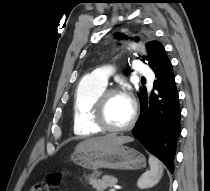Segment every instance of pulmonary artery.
<instances>
[{"mask_svg": "<svg viewBox=\"0 0 210 191\" xmlns=\"http://www.w3.org/2000/svg\"><path fill=\"white\" fill-rule=\"evenodd\" d=\"M132 65L135 72L139 75L144 77H150L152 75L151 70L141 61L133 60ZM111 73L112 70L110 66H101L88 73L87 77L106 86Z\"/></svg>", "mask_w": 210, "mask_h": 191, "instance_id": "pulmonary-artery-1", "label": "pulmonary artery"}]
</instances>
